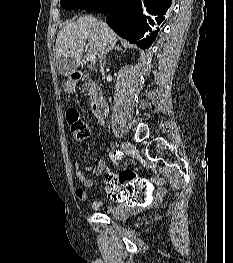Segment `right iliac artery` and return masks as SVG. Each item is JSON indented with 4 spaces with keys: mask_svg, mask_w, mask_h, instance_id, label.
Segmentation results:
<instances>
[{
    "mask_svg": "<svg viewBox=\"0 0 233 263\" xmlns=\"http://www.w3.org/2000/svg\"><path fill=\"white\" fill-rule=\"evenodd\" d=\"M113 157L115 158V160H120L123 157V153L120 151H115Z\"/></svg>",
    "mask_w": 233,
    "mask_h": 263,
    "instance_id": "right-iliac-artery-1",
    "label": "right iliac artery"
}]
</instances>
